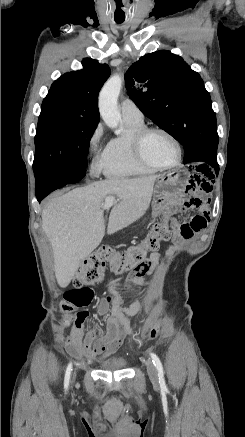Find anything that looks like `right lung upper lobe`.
Masks as SVG:
<instances>
[{
	"mask_svg": "<svg viewBox=\"0 0 245 437\" xmlns=\"http://www.w3.org/2000/svg\"><path fill=\"white\" fill-rule=\"evenodd\" d=\"M82 64L83 70L66 73L52 84L41 109H61L99 122L98 94L110 68L89 58L83 59Z\"/></svg>",
	"mask_w": 245,
	"mask_h": 437,
	"instance_id": "cb5924a9",
	"label": "right lung upper lobe"
}]
</instances>
